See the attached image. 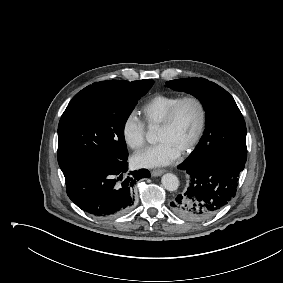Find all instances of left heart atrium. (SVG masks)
I'll return each mask as SVG.
<instances>
[{"mask_svg": "<svg viewBox=\"0 0 283 283\" xmlns=\"http://www.w3.org/2000/svg\"><path fill=\"white\" fill-rule=\"evenodd\" d=\"M181 151L168 141H161L136 153L133 163L138 167L155 168L173 163Z\"/></svg>", "mask_w": 283, "mask_h": 283, "instance_id": "39dd6f15", "label": "left heart atrium"}]
</instances>
